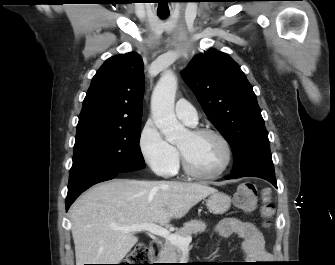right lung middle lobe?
<instances>
[{
	"mask_svg": "<svg viewBox=\"0 0 335 265\" xmlns=\"http://www.w3.org/2000/svg\"><path fill=\"white\" fill-rule=\"evenodd\" d=\"M141 121L120 127L77 130L69 182L88 172H128L145 167L140 151Z\"/></svg>",
	"mask_w": 335,
	"mask_h": 265,
	"instance_id": "right-lung-middle-lobe-1",
	"label": "right lung middle lobe"
}]
</instances>
